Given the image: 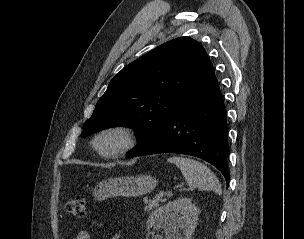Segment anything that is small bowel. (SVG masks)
Masks as SVG:
<instances>
[{
	"label": "small bowel",
	"instance_id": "1",
	"mask_svg": "<svg viewBox=\"0 0 304 239\" xmlns=\"http://www.w3.org/2000/svg\"><path fill=\"white\" fill-rule=\"evenodd\" d=\"M119 236H115L113 239H119ZM72 239H91L90 234L86 230L79 231Z\"/></svg>",
	"mask_w": 304,
	"mask_h": 239
}]
</instances>
